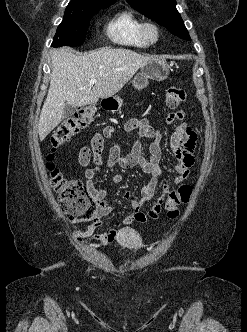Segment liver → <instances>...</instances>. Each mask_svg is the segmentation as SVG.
Masks as SVG:
<instances>
[{"label": "liver", "mask_w": 247, "mask_h": 332, "mask_svg": "<svg viewBox=\"0 0 247 332\" xmlns=\"http://www.w3.org/2000/svg\"><path fill=\"white\" fill-rule=\"evenodd\" d=\"M155 58L108 47L85 55H75L66 47L55 49L51 57L50 87L38 122L40 141L62 121L66 104L79 107L112 97L139 68ZM91 79L97 80L92 87Z\"/></svg>", "instance_id": "liver-1"}]
</instances>
